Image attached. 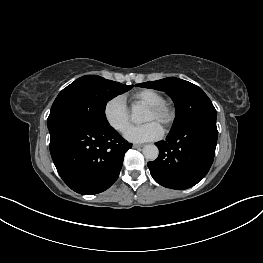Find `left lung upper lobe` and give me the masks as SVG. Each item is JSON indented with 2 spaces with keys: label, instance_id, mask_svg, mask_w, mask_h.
<instances>
[{
  "label": "left lung upper lobe",
  "instance_id": "5c2ea615",
  "mask_svg": "<svg viewBox=\"0 0 263 263\" xmlns=\"http://www.w3.org/2000/svg\"><path fill=\"white\" fill-rule=\"evenodd\" d=\"M136 86L165 91L173 99L176 118L172 131L191 123L217 119L212 102L204 91L193 83L169 77Z\"/></svg>",
  "mask_w": 263,
  "mask_h": 263
}]
</instances>
